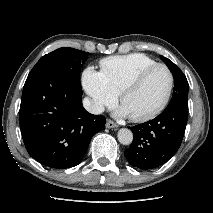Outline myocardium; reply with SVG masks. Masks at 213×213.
I'll return each mask as SVG.
<instances>
[{"label":"myocardium","instance_id":"myocardium-1","mask_svg":"<svg viewBox=\"0 0 213 213\" xmlns=\"http://www.w3.org/2000/svg\"><path fill=\"white\" fill-rule=\"evenodd\" d=\"M156 69H164L168 73L169 85H168L166 94L163 97V99L161 100V102L156 107H154L152 110H150L149 112L142 114V115H138V116H130V119L132 121L144 122V121L152 119L153 117L158 115L164 109V107L167 105V103L171 97L173 87H174V75L169 67H167L164 64L158 63L155 65L149 66L147 68H144L123 86V88L120 90V92L118 94V99H119L120 104L122 105V102H123L125 96L129 92H131L133 89H135L149 73H151L152 71H154Z\"/></svg>","mask_w":213,"mask_h":213}]
</instances>
